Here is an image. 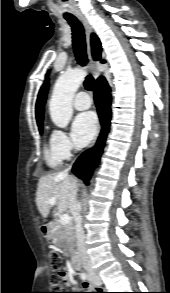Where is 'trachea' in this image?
Here are the masks:
<instances>
[{"label": "trachea", "mask_w": 170, "mask_h": 293, "mask_svg": "<svg viewBox=\"0 0 170 293\" xmlns=\"http://www.w3.org/2000/svg\"><path fill=\"white\" fill-rule=\"evenodd\" d=\"M72 29L73 49L76 60L81 66H85L88 62L86 55L85 33L84 28L77 18L66 19ZM84 86L88 91L94 89V79L88 75L84 81Z\"/></svg>", "instance_id": "1"}]
</instances>
